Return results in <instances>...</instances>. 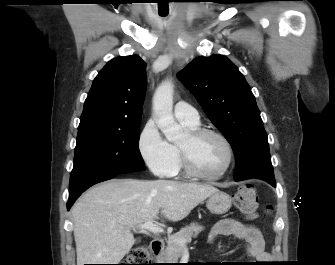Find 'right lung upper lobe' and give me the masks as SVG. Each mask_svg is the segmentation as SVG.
<instances>
[{
	"label": "right lung upper lobe",
	"instance_id": "obj_1",
	"mask_svg": "<svg viewBox=\"0 0 335 265\" xmlns=\"http://www.w3.org/2000/svg\"><path fill=\"white\" fill-rule=\"evenodd\" d=\"M145 67V62L136 55L109 61L93 81L78 131L121 128L141 121Z\"/></svg>",
	"mask_w": 335,
	"mask_h": 265
}]
</instances>
